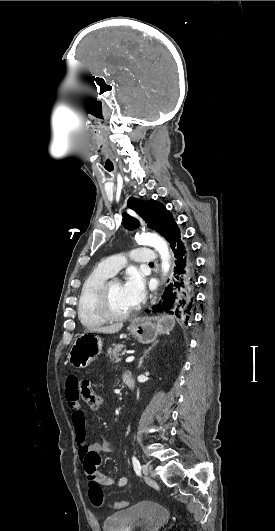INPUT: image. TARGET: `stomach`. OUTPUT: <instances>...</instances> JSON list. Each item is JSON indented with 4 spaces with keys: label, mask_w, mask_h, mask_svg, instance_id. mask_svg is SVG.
<instances>
[{
    "label": "stomach",
    "mask_w": 275,
    "mask_h": 531,
    "mask_svg": "<svg viewBox=\"0 0 275 531\" xmlns=\"http://www.w3.org/2000/svg\"><path fill=\"white\" fill-rule=\"evenodd\" d=\"M175 319L171 315H161V317H154V319H134L131 321L129 331L139 343L147 345L156 341L158 335H168L174 329ZM103 347V341L99 335L95 333H83L80 337L75 339L68 361L75 369H85L97 355H100Z\"/></svg>",
    "instance_id": "1"
}]
</instances>
